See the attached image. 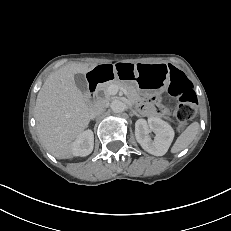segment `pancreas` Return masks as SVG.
Listing matches in <instances>:
<instances>
[{
    "instance_id": "pancreas-1",
    "label": "pancreas",
    "mask_w": 231,
    "mask_h": 231,
    "mask_svg": "<svg viewBox=\"0 0 231 231\" xmlns=\"http://www.w3.org/2000/svg\"><path fill=\"white\" fill-rule=\"evenodd\" d=\"M112 85L118 86L120 89H125L127 91V97L132 101L135 102L137 99V91L134 86H132L128 82H124L121 80H114L108 83H104L100 86V89L103 90L105 96H110L109 88Z\"/></svg>"
}]
</instances>
